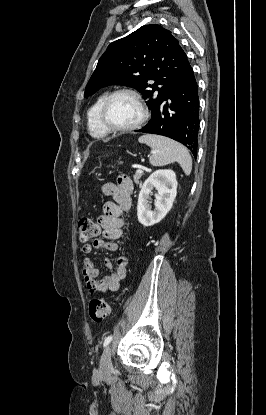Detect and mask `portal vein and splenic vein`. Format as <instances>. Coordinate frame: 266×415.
<instances>
[{
	"label": "portal vein and splenic vein",
	"mask_w": 266,
	"mask_h": 415,
	"mask_svg": "<svg viewBox=\"0 0 266 415\" xmlns=\"http://www.w3.org/2000/svg\"><path fill=\"white\" fill-rule=\"evenodd\" d=\"M136 173H143V169L140 167L136 170Z\"/></svg>",
	"instance_id": "1"
}]
</instances>
